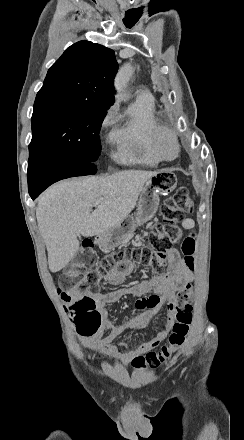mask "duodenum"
Returning a JSON list of instances; mask_svg holds the SVG:
<instances>
[{
  "mask_svg": "<svg viewBox=\"0 0 244 440\" xmlns=\"http://www.w3.org/2000/svg\"><path fill=\"white\" fill-rule=\"evenodd\" d=\"M112 241V233L100 234L96 237V242L102 246L108 245Z\"/></svg>",
  "mask_w": 244,
  "mask_h": 440,
  "instance_id": "obj_1",
  "label": "duodenum"
}]
</instances>
